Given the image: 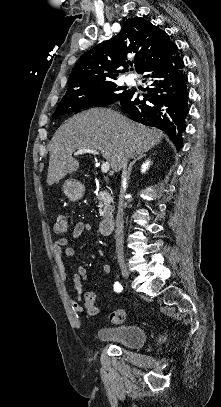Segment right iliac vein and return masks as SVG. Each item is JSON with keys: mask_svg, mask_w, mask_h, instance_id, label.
I'll return each instance as SVG.
<instances>
[{"mask_svg": "<svg viewBox=\"0 0 221 407\" xmlns=\"http://www.w3.org/2000/svg\"><path fill=\"white\" fill-rule=\"evenodd\" d=\"M120 270H121L123 277L128 280L130 278V272L127 269L126 265L120 264Z\"/></svg>", "mask_w": 221, "mask_h": 407, "instance_id": "63e3f726", "label": "right iliac vein"}]
</instances>
